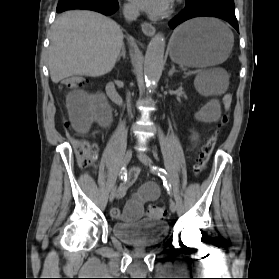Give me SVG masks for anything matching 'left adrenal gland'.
Instances as JSON below:
<instances>
[{"mask_svg": "<svg viewBox=\"0 0 279 279\" xmlns=\"http://www.w3.org/2000/svg\"><path fill=\"white\" fill-rule=\"evenodd\" d=\"M175 72H177L176 69H175V66L172 65V68H171V70L169 71L168 76H169V77H172L173 74H174Z\"/></svg>", "mask_w": 279, "mask_h": 279, "instance_id": "1", "label": "left adrenal gland"}]
</instances>
